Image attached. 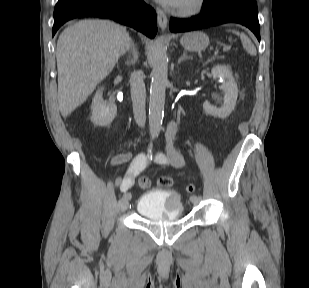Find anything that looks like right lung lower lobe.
Returning a JSON list of instances; mask_svg holds the SVG:
<instances>
[{"label": "right lung lower lobe", "mask_w": 309, "mask_h": 288, "mask_svg": "<svg viewBox=\"0 0 309 288\" xmlns=\"http://www.w3.org/2000/svg\"><path fill=\"white\" fill-rule=\"evenodd\" d=\"M82 16L113 19L150 38L157 32L156 14L143 0H73L55 8L52 36L66 21Z\"/></svg>", "instance_id": "98d812e1"}]
</instances>
